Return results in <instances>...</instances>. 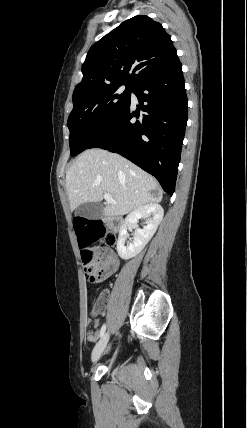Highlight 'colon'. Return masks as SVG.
<instances>
[{"label": "colon", "mask_w": 247, "mask_h": 428, "mask_svg": "<svg viewBox=\"0 0 247 428\" xmlns=\"http://www.w3.org/2000/svg\"><path fill=\"white\" fill-rule=\"evenodd\" d=\"M75 241L81 251L85 277L89 282H97L106 260L103 256L95 257V253L87 248L92 243H99L103 239L108 246L116 244V234L104 227L100 221H91L90 217H75ZM91 332H88V334Z\"/></svg>", "instance_id": "1"}]
</instances>
